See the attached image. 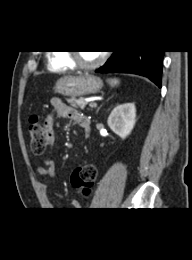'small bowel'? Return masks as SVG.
Listing matches in <instances>:
<instances>
[{
	"mask_svg": "<svg viewBox=\"0 0 192 260\" xmlns=\"http://www.w3.org/2000/svg\"><path fill=\"white\" fill-rule=\"evenodd\" d=\"M53 108V114H49L45 120V128L50 136L51 145L54 142L55 132L53 126L54 115L61 118H68L77 122L80 126L83 121H88V118L80 114L77 110L67 105L62 99L58 97H53L50 101ZM40 176L55 177V162L51 158H46L44 164L37 169ZM40 188L44 194H46V185L44 183L40 184ZM82 202L78 199L72 201V207L74 209H81Z\"/></svg>",
	"mask_w": 192,
	"mask_h": 260,
	"instance_id": "1",
	"label": "small bowel"
}]
</instances>
